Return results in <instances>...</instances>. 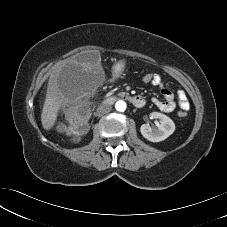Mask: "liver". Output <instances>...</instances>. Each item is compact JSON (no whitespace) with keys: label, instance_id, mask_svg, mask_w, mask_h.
I'll list each match as a JSON object with an SVG mask.
<instances>
[{"label":"liver","instance_id":"1","mask_svg":"<svg viewBox=\"0 0 227 227\" xmlns=\"http://www.w3.org/2000/svg\"><path fill=\"white\" fill-rule=\"evenodd\" d=\"M91 73L90 66L80 65L75 60L57 64L48 81L41 113V123L45 130L54 126L59 109L79 94L81 82L88 79Z\"/></svg>","mask_w":227,"mask_h":227}]
</instances>
